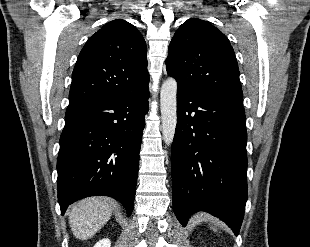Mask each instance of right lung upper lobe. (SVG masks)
Wrapping results in <instances>:
<instances>
[{"mask_svg":"<svg viewBox=\"0 0 310 247\" xmlns=\"http://www.w3.org/2000/svg\"><path fill=\"white\" fill-rule=\"evenodd\" d=\"M146 43L137 28L116 19L84 45L72 73L69 104L138 92L148 86Z\"/></svg>","mask_w":310,"mask_h":247,"instance_id":"obj_1","label":"right lung upper lobe"}]
</instances>
